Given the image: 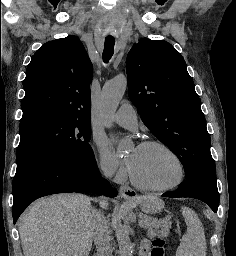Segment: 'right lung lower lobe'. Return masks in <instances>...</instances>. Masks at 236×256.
<instances>
[{
    "mask_svg": "<svg viewBox=\"0 0 236 256\" xmlns=\"http://www.w3.org/2000/svg\"><path fill=\"white\" fill-rule=\"evenodd\" d=\"M109 197L116 189L103 179L95 157L84 160L78 157H45L17 168L12 183L13 222L34 200L51 194L81 192L84 189Z\"/></svg>",
    "mask_w": 236,
    "mask_h": 256,
    "instance_id": "1",
    "label": "right lung lower lobe"
}]
</instances>
